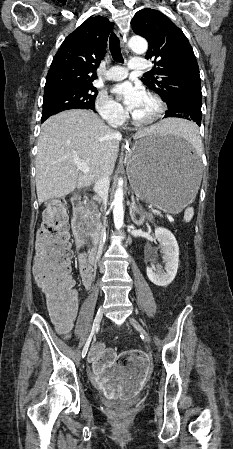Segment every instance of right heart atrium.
I'll list each match as a JSON object with an SVG mask.
<instances>
[{
  "instance_id": "obj_1",
  "label": "right heart atrium",
  "mask_w": 233,
  "mask_h": 449,
  "mask_svg": "<svg viewBox=\"0 0 233 449\" xmlns=\"http://www.w3.org/2000/svg\"><path fill=\"white\" fill-rule=\"evenodd\" d=\"M95 108L103 120L112 126L120 125L126 118L123 107L104 92L98 94Z\"/></svg>"
}]
</instances>
